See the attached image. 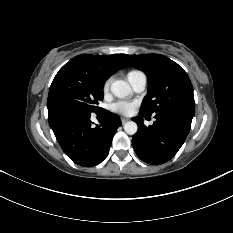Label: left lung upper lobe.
Here are the masks:
<instances>
[{
  "instance_id": "obj_1",
  "label": "left lung upper lobe",
  "mask_w": 233,
  "mask_h": 233,
  "mask_svg": "<svg viewBox=\"0 0 233 233\" xmlns=\"http://www.w3.org/2000/svg\"><path fill=\"white\" fill-rule=\"evenodd\" d=\"M126 61L148 77V95L141 108L147 115L177 113L188 118L195 114L193 87L187 73L177 63L159 54L127 55Z\"/></svg>"
}]
</instances>
